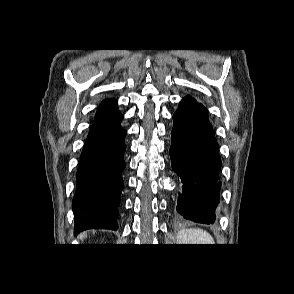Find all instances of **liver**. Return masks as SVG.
Listing matches in <instances>:
<instances>
[{
  "label": "liver",
  "instance_id": "6515ba94",
  "mask_svg": "<svg viewBox=\"0 0 294 294\" xmlns=\"http://www.w3.org/2000/svg\"><path fill=\"white\" fill-rule=\"evenodd\" d=\"M86 236H87L86 233H81V234L79 235L78 238L82 240V239L85 238Z\"/></svg>",
  "mask_w": 294,
  "mask_h": 294
}]
</instances>
